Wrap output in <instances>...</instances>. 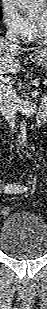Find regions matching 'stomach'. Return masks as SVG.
<instances>
[{
  "instance_id": "0dacf381",
  "label": "stomach",
  "mask_w": 47,
  "mask_h": 309,
  "mask_svg": "<svg viewBox=\"0 0 47 309\" xmlns=\"http://www.w3.org/2000/svg\"><path fill=\"white\" fill-rule=\"evenodd\" d=\"M31 60L39 66L47 67V47L45 49L35 51V53L31 56Z\"/></svg>"
}]
</instances>
